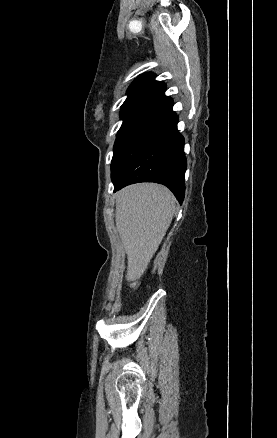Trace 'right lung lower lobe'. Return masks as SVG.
Wrapping results in <instances>:
<instances>
[{"mask_svg": "<svg viewBox=\"0 0 277 438\" xmlns=\"http://www.w3.org/2000/svg\"><path fill=\"white\" fill-rule=\"evenodd\" d=\"M177 116L169 111L162 125L114 183V192L138 182H156L167 186L181 204L184 200V176L187 161L184 138L177 130Z\"/></svg>", "mask_w": 277, "mask_h": 438, "instance_id": "obj_1", "label": "right lung lower lobe"}]
</instances>
